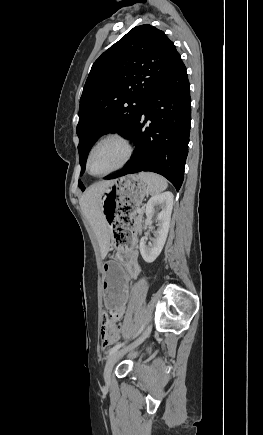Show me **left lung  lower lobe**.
<instances>
[{
  "mask_svg": "<svg viewBox=\"0 0 263 435\" xmlns=\"http://www.w3.org/2000/svg\"><path fill=\"white\" fill-rule=\"evenodd\" d=\"M191 122V98L182 60L145 102L129 138L135 143L125 168L105 179L151 171L167 178L177 190L184 179ZM148 123V127L144 125Z\"/></svg>",
  "mask_w": 263,
  "mask_h": 435,
  "instance_id": "1",
  "label": "left lung lower lobe"
}]
</instances>
